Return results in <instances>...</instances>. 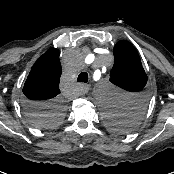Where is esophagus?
Here are the masks:
<instances>
[{"label":"esophagus","mask_w":174,"mask_h":174,"mask_svg":"<svg viewBox=\"0 0 174 174\" xmlns=\"http://www.w3.org/2000/svg\"><path fill=\"white\" fill-rule=\"evenodd\" d=\"M89 89H90V86L89 85H86V84H83L82 85V92L83 93H87Z\"/></svg>","instance_id":"obj_1"}]
</instances>
